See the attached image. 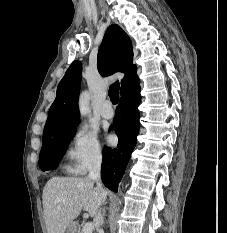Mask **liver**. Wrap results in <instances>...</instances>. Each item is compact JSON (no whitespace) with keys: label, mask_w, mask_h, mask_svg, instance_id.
<instances>
[{"label":"liver","mask_w":227,"mask_h":233,"mask_svg":"<svg viewBox=\"0 0 227 233\" xmlns=\"http://www.w3.org/2000/svg\"><path fill=\"white\" fill-rule=\"evenodd\" d=\"M106 196L89 178L52 177L42 194L47 233H65L81 210L95 217Z\"/></svg>","instance_id":"1"}]
</instances>
